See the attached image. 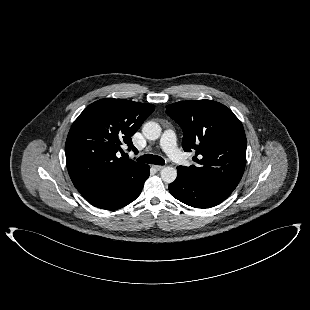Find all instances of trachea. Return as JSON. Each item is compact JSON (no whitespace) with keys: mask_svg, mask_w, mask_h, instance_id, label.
<instances>
[{"mask_svg":"<svg viewBox=\"0 0 310 310\" xmlns=\"http://www.w3.org/2000/svg\"><path fill=\"white\" fill-rule=\"evenodd\" d=\"M137 160L140 162L148 163V164H155V165L165 164L164 159L158 155L146 154V155L140 156Z\"/></svg>","mask_w":310,"mask_h":310,"instance_id":"3493384b","label":"trachea"}]
</instances>
